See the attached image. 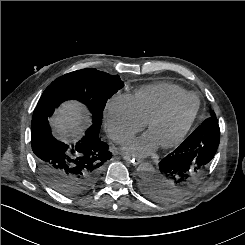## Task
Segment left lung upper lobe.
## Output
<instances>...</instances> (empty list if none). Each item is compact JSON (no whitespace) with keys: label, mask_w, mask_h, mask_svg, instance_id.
<instances>
[{"label":"left lung upper lobe","mask_w":245,"mask_h":245,"mask_svg":"<svg viewBox=\"0 0 245 245\" xmlns=\"http://www.w3.org/2000/svg\"><path fill=\"white\" fill-rule=\"evenodd\" d=\"M207 119H210V120H217L214 111H211V112H210V115H209V117H208Z\"/></svg>","instance_id":"obj_1"}]
</instances>
